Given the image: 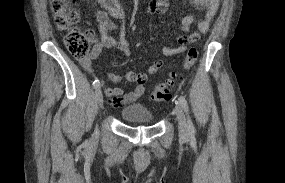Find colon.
I'll return each mask as SVG.
<instances>
[{
    "label": "colon",
    "instance_id": "5ec220e1",
    "mask_svg": "<svg viewBox=\"0 0 285 183\" xmlns=\"http://www.w3.org/2000/svg\"><path fill=\"white\" fill-rule=\"evenodd\" d=\"M73 0H51V9L54 14L56 26L67 31L64 43L70 54L77 59H86L91 53V48L96 42V36L91 30H81L75 25L79 22V13L72 5ZM197 47L189 48L182 61L184 70L190 69L198 58ZM180 75L171 74L159 82L151 91L150 97L155 102H164L170 99L171 90Z\"/></svg>",
    "mask_w": 285,
    "mask_h": 183
}]
</instances>
